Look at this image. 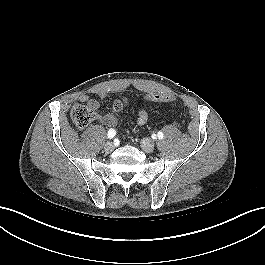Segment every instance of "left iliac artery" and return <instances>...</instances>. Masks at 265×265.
Returning a JSON list of instances; mask_svg holds the SVG:
<instances>
[{
    "label": "left iliac artery",
    "mask_w": 265,
    "mask_h": 265,
    "mask_svg": "<svg viewBox=\"0 0 265 265\" xmlns=\"http://www.w3.org/2000/svg\"><path fill=\"white\" fill-rule=\"evenodd\" d=\"M157 136H158L159 139H163V137H164L162 132H158Z\"/></svg>",
    "instance_id": "44dca946"
}]
</instances>
